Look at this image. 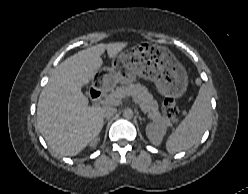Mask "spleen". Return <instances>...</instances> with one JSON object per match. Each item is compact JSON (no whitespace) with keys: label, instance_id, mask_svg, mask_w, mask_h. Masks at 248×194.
I'll list each match as a JSON object with an SVG mask.
<instances>
[{"label":"spleen","instance_id":"obj_1","mask_svg":"<svg viewBox=\"0 0 248 194\" xmlns=\"http://www.w3.org/2000/svg\"><path fill=\"white\" fill-rule=\"evenodd\" d=\"M210 121V93L208 87L202 85L188 115L168 137L166 150L176 153L193 147L201 139Z\"/></svg>","mask_w":248,"mask_h":194}]
</instances>
